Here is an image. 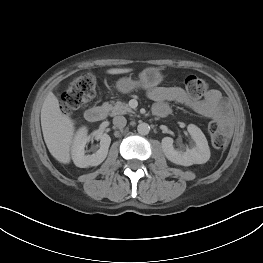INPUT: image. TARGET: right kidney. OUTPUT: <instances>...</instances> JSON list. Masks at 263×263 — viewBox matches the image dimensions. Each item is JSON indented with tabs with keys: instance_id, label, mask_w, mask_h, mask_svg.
Masks as SVG:
<instances>
[{
	"instance_id": "obj_1",
	"label": "right kidney",
	"mask_w": 263,
	"mask_h": 263,
	"mask_svg": "<svg viewBox=\"0 0 263 263\" xmlns=\"http://www.w3.org/2000/svg\"><path fill=\"white\" fill-rule=\"evenodd\" d=\"M91 136L100 139V148L92 155H85V146L90 141ZM110 143L111 138L108 134L96 130L88 136L87 128L81 127L76 132L71 150L74 164L80 168L98 166L107 157Z\"/></svg>"
}]
</instances>
